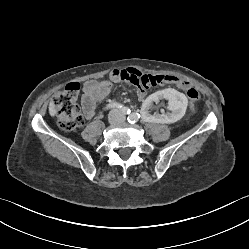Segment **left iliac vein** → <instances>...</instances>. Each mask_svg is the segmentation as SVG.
<instances>
[{
    "label": "left iliac vein",
    "instance_id": "4c4485c4",
    "mask_svg": "<svg viewBox=\"0 0 249 249\" xmlns=\"http://www.w3.org/2000/svg\"><path fill=\"white\" fill-rule=\"evenodd\" d=\"M125 118L124 117H121V121H123Z\"/></svg>",
    "mask_w": 249,
    "mask_h": 249
}]
</instances>
